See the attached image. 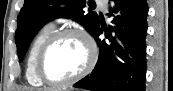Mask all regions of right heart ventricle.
Here are the masks:
<instances>
[{
	"label": "right heart ventricle",
	"mask_w": 173,
	"mask_h": 91,
	"mask_svg": "<svg viewBox=\"0 0 173 91\" xmlns=\"http://www.w3.org/2000/svg\"><path fill=\"white\" fill-rule=\"evenodd\" d=\"M55 30V24L52 22H48L44 24L40 30L38 31L37 35L33 39L27 59H26V79L27 81L33 85V86H42L43 82L37 77L36 71H35V60L37 53L43 44V42L46 40V38L53 33Z\"/></svg>",
	"instance_id": "1"
}]
</instances>
